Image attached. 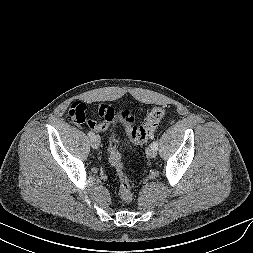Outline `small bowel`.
Returning <instances> with one entry per match:
<instances>
[{
    "label": "small bowel",
    "mask_w": 253,
    "mask_h": 253,
    "mask_svg": "<svg viewBox=\"0 0 253 253\" xmlns=\"http://www.w3.org/2000/svg\"><path fill=\"white\" fill-rule=\"evenodd\" d=\"M95 116L102 119L100 123L91 121L89 127L95 132L106 131L114 122L115 113L114 110L108 105H101L95 112Z\"/></svg>",
    "instance_id": "obj_1"
}]
</instances>
